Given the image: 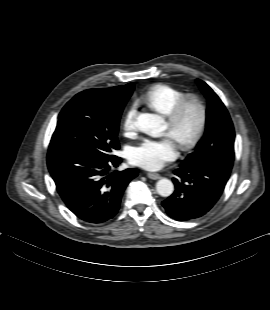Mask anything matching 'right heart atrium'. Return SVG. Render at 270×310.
Here are the masks:
<instances>
[{
  "instance_id": "obj_1",
  "label": "right heart atrium",
  "mask_w": 270,
  "mask_h": 310,
  "mask_svg": "<svg viewBox=\"0 0 270 310\" xmlns=\"http://www.w3.org/2000/svg\"><path fill=\"white\" fill-rule=\"evenodd\" d=\"M137 114L138 103L132 102L127 108L122 121L123 129L127 134H133L137 130Z\"/></svg>"
}]
</instances>
